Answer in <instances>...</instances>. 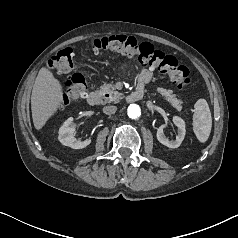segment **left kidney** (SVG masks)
<instances>
[{"instance_id":"5707ae66","label":"left kidney","mask_w":238,"mask_h":238,"mask_svg":"<svg viewBox=\"0 0 238 238\" xmlns=\"http://www.w3.org/2000/svg\"><path fill=\"white\" fill-rule=\"evenodd\" d=\"M174 125L178 128V134L176 136L175 140H169L165 134H164V128L166 127V124H162L158 129H157V139L160 143L163 145L169 147V148H178L184 137H185V122L181 117L174 116L172 119Z\"/></svg>"}]
</instances>
